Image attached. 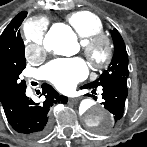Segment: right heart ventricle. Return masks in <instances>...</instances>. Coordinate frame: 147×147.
Instances as JSON below:
<instances>
[{
	"label": "right heart ventricle",
	"mask_w": 147,
	"mask_h": 147,
	"mask_svg": "<svg viewBox=\"0 0 147 147\" xmlns=\"http://www.w3.org/2000/svg\"><path fill=\"white\" fill-rule=\"evenodd\" d=\"M67 21L82 41L101 33L103 30V25L99 17L88 11L73 13L67 17Z\"/></svg>",
	"instance_id": "obj_1"
}]
</instances>
